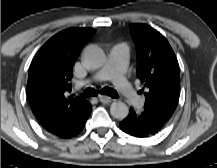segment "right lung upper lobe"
<instances>
[{
    "label": "right lung upper lobe",
    "mask_w": 217,
    "mask_h": 168,
    "mask_svg": "<svg viewBox=\"0 0 217 168\" xmlns=\"http://www.w3.org/2000/svg\"><path fill=\"white\" fill-rule=\"evenodd\" d=\"M92 28H70L50 38L33 58L27 96L40 124L52 134L71 127L90 109L80 97H69L73 65Z\"/></svg>",
    "instance_id": "cb5924a9"
}]
</instances>
